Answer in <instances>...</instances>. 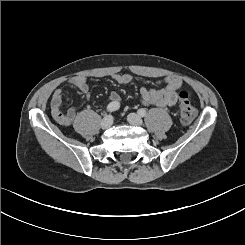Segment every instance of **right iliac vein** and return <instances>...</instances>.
Listing matches in <instances>:
<instances>
[{
	"instance_id": "right-iliac-vein-1",
	"label": "right iliac vein",
	"mask_w": 245,
	"mask_h": 245,
	"mask_svg": "<svg viewBox=\"0 0 245 245\" xmlns=\"http://www.w3.org/2000/svg\"><path fill=\"white\" fill-rule=\"evenodd\" d=\"M113 124V118L111 115L106 116L102 121H101V127L103 129H108L112 126Z\"/></svg>"
}]
</instances>
